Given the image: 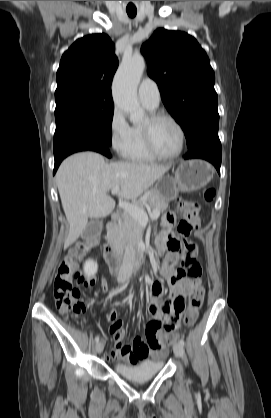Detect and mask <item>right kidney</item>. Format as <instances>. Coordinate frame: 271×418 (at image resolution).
<instances>
[{
	"label": "right kidney",
	"instance_id": "obj_1",
	"mask_svg": "<svg viewBox=\"0 0 271 418\" xmlns=\"http://www.w3.org/2000/svg\"><path fill=\"white\" fill-rule=\"evenodd\" d=\"M98 265L97 262L92 259H88L84 263V272L87 277H92L97 273Z\"/></svg>",
	"mask_w": 271,
	"mask_h": 418
}]
</instances>
